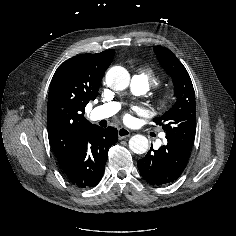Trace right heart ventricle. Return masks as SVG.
Segmentation results:
<instances>
[{
  "label": "right heart ventricle",
  "mask_w": 236,
  "mask_h": 236,
  "mask_svg": "<svg viewBox=\"0 0 236 236\" xmlns=\"http://www.w3.org/2000/svg\"><path fill=\"white\" fill-rule=\"evenodd\" d=\"M137 76L147 83L149 87L159 82V77L150 67L142 69Z\"/></svg>",
  "instance_id": "obj_1"
}]
</instances>
